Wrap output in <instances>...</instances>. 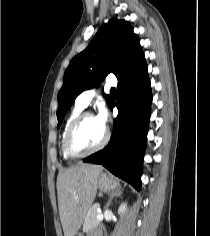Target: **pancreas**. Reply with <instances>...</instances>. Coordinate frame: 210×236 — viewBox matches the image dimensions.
<instances>
[{
    "mask_svg": "<svg viewBox=\"0 0 210 236\" xmlns=\"http://www.w3.org/2000/svg\"><path fill=\"white\" fill-rule=\"evenodd\" d=\"M100 207V205L98 203H95L94 205H92L85 217H84V224H83V231L87 232L89 230H91L92 228H94L95 226L99 225L100 220H98L96 218V216L98 215L97 209Z\"/></svg>",
    "mask_w": 210,
    "mask_h": 236,
    "instance_id": "obj_1",
    "label": "pancreas"
}]
</instances>
